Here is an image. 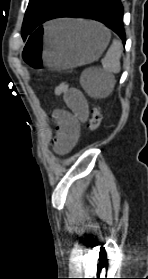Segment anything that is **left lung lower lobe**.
I'll return each mask as SVG.
<instances>
[{
    "mask_svg": "<svg viewBox=\"0 0 148 279\" xmlns=\"http://www.w3.org/2000/svg\"><path fill=\"white\" fill-rule=\"evenodd\" d=\"M60 17L100 21L118 34L125 44L123 6L120 0H66L47 20Z\"/></svg>",
    "mask_w": 148,
    "mask_h": 279,
    "instance_id": "left-lung-lower-lobe-1",
    "label": "left lung lower lobe"
}]
</instances>
